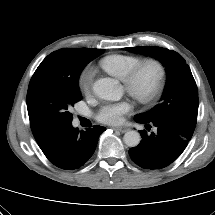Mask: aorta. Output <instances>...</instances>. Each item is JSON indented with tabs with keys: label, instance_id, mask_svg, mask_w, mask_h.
Here are the masks:
<instances>
[{
	"label": "aorta",
	"instance_id": "aorta-1",
	"mask_svg": "<svg viewBox=\"0 0 215 215\" xmlns=\"http://www.w3.org/2000/svg\"><path fill=\"white\" fill-rule=\"evenodd\" d=\"M94 94L104 100L117 101L122 97V87L112 78H100L93 84ZM124 143L129 147H136L141 141L139 132L131 130L125 133Z\"/></svg>",
	"mask_w": 215,
	"mask_h": 215
}]
</instances>
